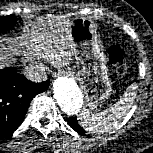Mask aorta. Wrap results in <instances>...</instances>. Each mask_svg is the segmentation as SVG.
Masks as SVG:
<instances>
[{"label": "aorta", "instance_id": "obj_1", "mask_svg": "<svg viewBox=\"0 0 153 153\" xmlns=\"http://www.w3.org/2000/svg\"><path fill=\"white\" fill-rule=\"evenodd\" d=\"M54 96L61 108L67 115L76 114L82 107L83 98L76 83L67 77H60L54 82Z\"/></svg>", "mask_w": 153, "mask_h": 153}]
</instances>
